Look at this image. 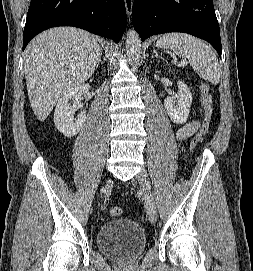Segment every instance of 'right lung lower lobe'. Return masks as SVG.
<instances>
[{"instance_id":"1","label":"right lung lower lobe","mask_w":253,"mask_h":271,"mask_svg":"<svg viewBox=\"0 0 253 271\" xmlns=\"http://www.w3.org/2000/svg\"><path fill=\"white\" fill-rule=\"evenodd\" d=\"M55 26H75L118 42L127 26L124 0H31L23 50L38 33Z\"/></svg>"}]
</instances>
